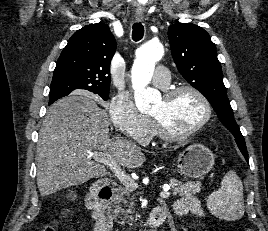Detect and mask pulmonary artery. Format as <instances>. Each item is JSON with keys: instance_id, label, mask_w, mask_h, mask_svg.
Listing matches in <instances>:
<instances>
[{"instance_id": "obj_1", "label": "pulmonary artery", "mask_w": 268, "mask_h": 231, "mask_svg": "<svg viewBox=\"0 0 268 231\" xmlns=\"http://www.w3.org/2000/svg\"><path fill=\"white\" fill-rule=\"evenodd\" d=\"M153 82L155 85L166 89L170 84V76L168 69L165 66H158L155 74L153 75Z\"/></svg>"}]
</instances>
